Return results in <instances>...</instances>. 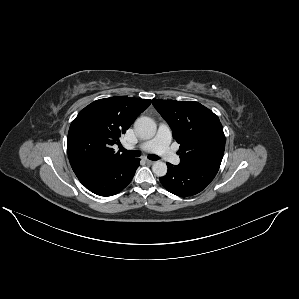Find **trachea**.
I'll return each mask as SVG.
<instances>
[{
    "label": "trachea",
    "mask_w": 299,
    "mask_h": 299,
    "mask_svg": "<svg viewBox=\"0 0 299 299\" xmlns=\"http://www.w3.org/2000/svg\"><path fill=\"white\" fill-rule=\"evenodd\" d=\"M121 151H122L123 153H126V154L132 156V157H140V155H141V152H140V151H137V150H131V151H128V150H126V149L123 148V147H121ZM148 159L153 160V161H156V160H159L160 158H159L158 156H156V155H152V154H150V155H148Z\"/></svg>",
    "instance_id": "3493384b"
}]
</instances>
